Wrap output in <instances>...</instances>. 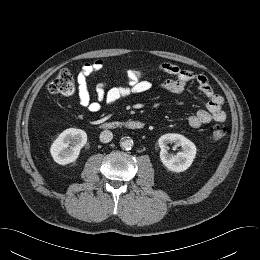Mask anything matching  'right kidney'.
<instances>
[{"label":"right kidney","mask_w":260,"mask_h":260,"mask_svg":"<svg viewBox=\"0 0 260 260\" xmlns=\"http://www.w3.org/2000/svg\"><path fill=\"white\" fill-rule=\"evenodd\" d=\"M87 142V134L84 130L69 128L64 130L52 143L50 153L54 161L60 165L74 162L80 150Z\"/></svg>","instance_id":"ca27d5eb"}]
</instances>
